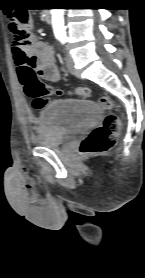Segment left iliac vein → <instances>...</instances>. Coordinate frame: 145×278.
<instances>
[{"label": "left iliac vein", "mask_w": 145, "mask_h": 278, "mask_svg": "<svg viewBox=\"0 0 145 278\" xmlns=\"http://www.w3.org/2000/svg\"><path fill=\"white\" fill-rule=\"evenodd\" d=\"M66 68L71 74H75L76 70L74 67V62H73V59L69 55H67V57H66Z\"/></svg>", "instance_id": "1"}]
</instances>
